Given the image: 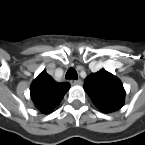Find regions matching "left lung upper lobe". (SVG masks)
I'll use <instances>...</instances> for the list:
<instances>
[{"mask_svg": "<svg viewBox=\"0 0 145 145\" xmlns=\"http://www.w3.org/2000/svg\"><path fill=\"white\" fill-rule=\"evenodd\" d=\"M84 90L103 113L117 111L124 104L125 91L121 81L104 69L85 79Z\"/></svg>", "mask_w": 145, "mask_h": 145, "instance_id": "1", "label": "left lung upper lobe"}]
</instances>
